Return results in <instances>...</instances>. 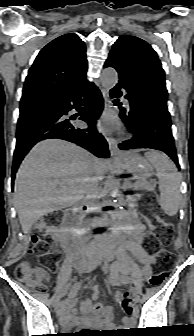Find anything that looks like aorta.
<instances>
[{"label":"aorta","mask_w":194,"mask_h":336,"mask_svg":"<svg viewBox=\"0 0 194 336\" xmlns=\"http://www.w3.org/2000/svg\"><path fill=\"white\" fill-rule=\"evenodd\" d=\"M118 82V74L114 68H105L101 74L102 86L106 89L113 88ZM119 169L115 168L112 175L107 179L104 187V206H117L119 196L120 180L117 178Z\"/></svg>","instance_id":"762f6f07"}]
</instances>
